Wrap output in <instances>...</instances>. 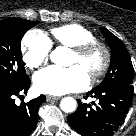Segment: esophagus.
I'll return each instance as SVG.
<instances>
[{"mask_svg":"<svg viewBox=\"0 0 136 136\" xmlns=\"http://www.w3.org/2000/svg\"><path fill=\"white\" fill-rule=\"evenodd\" d=\"M46 99H47V101H52V100H59L60 97L48 95V96H46Z\"/></svg>","mask_w":136,"mask_h":136,"instance_id":"1","label":"esophagus"}]
</instances>
